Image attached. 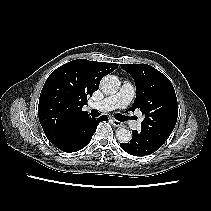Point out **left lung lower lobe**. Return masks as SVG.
I'll list each match as a JSON object with an SVG mask.
<instances>
[{"mask_svg": "<svg viewBox=\"0 0 211 211\" xmlns=\"http://www.w3.org/2000/svg\"><path fill=\"white\" fill-rule=\"evenodd\" d=\"M132 134L133 137L129 143L120 144V147L131 155H149L157 151L163 145L153 138L135 130L132 131Z\"/></svg>", "mask_w": 211, "mask_h": 211, "instance_id": "0a47b994", "label": "left lung lower lobe"}]
</instances>
